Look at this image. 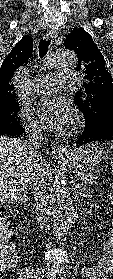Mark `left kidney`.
Segmentation results:
<instances>
[{
	"label": "left kidney",
	"instance_id": "obj_1",
	"mask_svg": "<svg viewBox=\"0 0 113 279\" xmlns=\"http://www.w3.org/2000/svg\"><path fill=\"white\" fill-rule=\"evenodd\" d=\"M98 227H100V228H101V227H104V226H100V225H98Z\"/></svg>",
	"mask_w": 113,
	"mask_h": 279
}]
</instances>
